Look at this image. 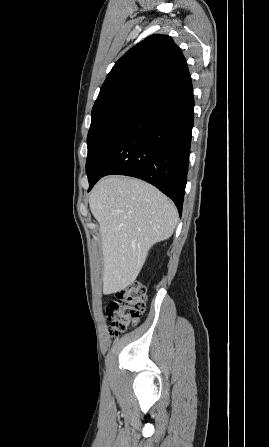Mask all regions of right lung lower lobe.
<instances>
[{"mask_svg":"<svg viewBox=\"0 0 269 447\" xmlns=\"http://www.w3.org/2000/svg\"><path fill=\"white\" fill-rule=\"evenodd\" d=\"M193 125V88L187 74L125 120L94 160L88 191L105 175L137 177L169 196L181 215Z\"/></svg>","mask_w":269,"mask_h":447,"instance_id":"98d812e1","label":"right lung lower lobe"}]
</instances>
